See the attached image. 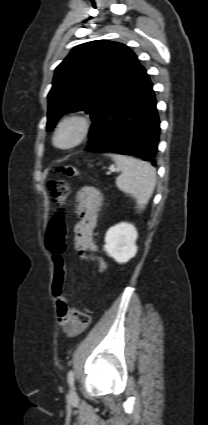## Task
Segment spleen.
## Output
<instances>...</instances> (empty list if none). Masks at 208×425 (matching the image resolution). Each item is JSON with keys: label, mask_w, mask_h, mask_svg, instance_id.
I'll use <instances>...</instances> for the list:
<instances>
[{"label": "spleen", "mask_w": 208, "mask_h": 425, "mask_svg": "<svg viewBox=\"0 0 208 425\" xmlns=\"http://www.w3.org/2000/svg\"><path fill=\"white\" fill-rule=\"evenodd\" d=\"M121 174L116 179L119 190L135 198L138 209H143L151 198L156 171L150 163L119 154H111Z\"/></svg>", "instance_id": "3e777b00"}]
</instances>
